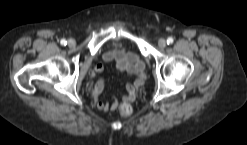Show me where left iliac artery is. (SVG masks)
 I'll list each match as a JSON object with an SVG mask.
<instances>
[{"instance_id": "obj_1", "label": "left iliac artery", "mask_w": 247, "mask_h": 145, "mask_svg": "<svg viewBox=\"0 0 247 145\" xmlns=\"http://www.w3.org/2000/svg\"><path fill=\"white\" fill-rule=\"evenodd\" d=\"M173 38L172 37H169L168 39H167V44H172L173 43Z\"/></svg>"}]
</instances>
